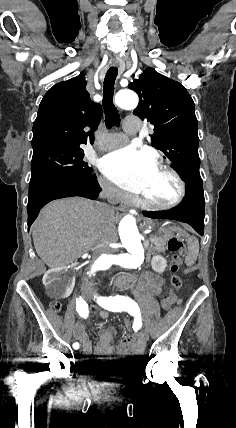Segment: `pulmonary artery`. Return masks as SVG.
Returning <instances> with one entry per match:
<instances>
[{
	"label": "pulmonary artery",
	"mask_w": 236,
	"mask_h": 428,
	"mask_svg": "<svg viewBox=\"0 0 236 428\" xmlns=\"http://www.w3.org/2000/svg\"><path fill=\"white\" fill-rule=\"evenodd\" d=\"M115 136L119 137V141L126 139V136L124 133H115ZM117 147H119V145H117L115 143H106V144L101 145L100 149L107 151V150H111V149H114Z\"/></svg>",
	"instance_id": "obj_1"
}]
</instances>
